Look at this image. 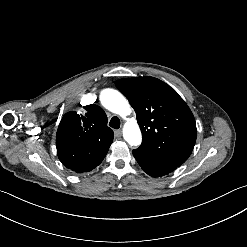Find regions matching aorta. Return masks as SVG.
Segmentation results:
<instances>
[{
    "mask_svg": "<svg viewBox=\"0 0 247 247\" xmlns=\"http://www.w3.org/2000/svg\"><path fill=\"white\" fill-rule=\"evenodd\" d=\"M102 105L109 111L125 118L131 113V107L126 98L117 90L104 89L100 94ZM123 137L131 146H139L142 135L136 120L127 121L123 127Z\"/></svg>",
    "mask_w": 247,
    "mask_h": 247,
    "instance_id": "aorta-1",
    "label": "aorta"
}]
</instances>
